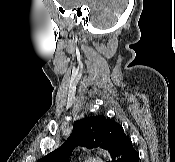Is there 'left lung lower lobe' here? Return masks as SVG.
Masks as SVG:
<instances>
[{"instance_id":"0a47b994","label":"left lung lower lobe","mask_w":175,"mask_h":162,"mask_svg":"<svg viewBox=\"0 0 175 162\" xmlns=\"http://www.w3.org/2000/svg\"><path fill=\"white\" fill-rule=\"evenodd\" d=\"M111 156L112 162H139V154L125 134L118 141Z\"/></svg>"}]
</instances>
